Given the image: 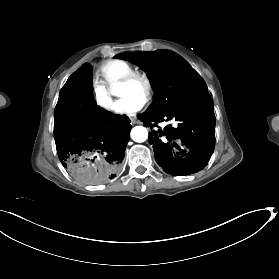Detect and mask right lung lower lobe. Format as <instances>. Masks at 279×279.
Listing matches in <instances>:
<instances>
[{
	"mask_svg": "<svg viewBox=\"0 0 279 279\" xmlns=\"http://www.w3.org/2000/svg\"><path fill=\"white\" fill-rule=\"evenodd\" d=\"M131 129L126 116L112 114L92 98V67L85 63L60 91L54 112V137L62 165L92 185L119 175Z\"/></svg>",
	"mask_w": 279,
	"mask_h": 279,
	"instance_id": "right-lung-lower-lobe-1",
	"label": "right lung lower lobe"
}]
</instances>
